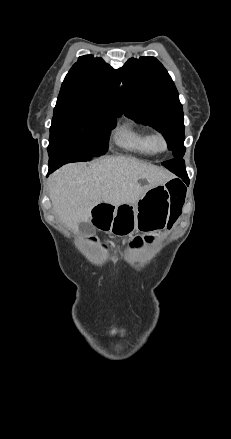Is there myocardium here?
Returning <instances> with one entry per match:
<instances>
[{
  "instance_id": "obj_1",
  "label": "myocardium",
  "mask_w": 231,
  "mask_h": 439,
  "mask_svg": "<svg viewBox=\"0 0 231 439\" xmlns=\"http://www.w3.org/2000/svg\"><path fill=\"white\" fill-rule=\"evenodd\" d=\"M154 146L157 151H165L168 148V140L166 136L161 133L157 132L153 136Z\"/></svg>"
}]
</instances>
